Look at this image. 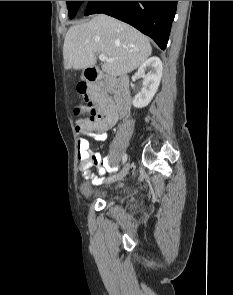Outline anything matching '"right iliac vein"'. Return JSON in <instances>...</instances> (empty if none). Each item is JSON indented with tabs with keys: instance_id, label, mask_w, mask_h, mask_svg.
<instances>
[{
	"instance_id": "1",
	"label": "right iliac vein",
	"mask_w": 233,
	"mask_h": 295,
	"mask_svg": "<svg viewBox=\"0 0 233 295\" xmlns=\"http://www.w3.org/2000/svg\"><path fill=\"white\" fill-rule=\"evenodd\" d=\"M129 168H130L129 163H126V165L123 167V169L121 170V172L118 175L107 180V184H111V183L121 180L128 173Z\"/></svg>"
}]
</instances>
